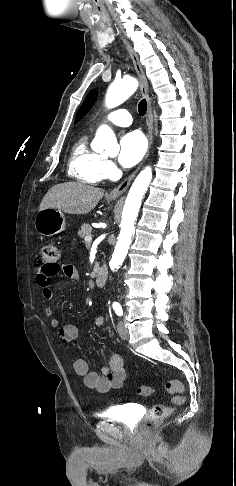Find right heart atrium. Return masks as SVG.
<instances>
[{
    "label": "right heart atrium",
    "mask_w": 236,
    "mask_h": 486,
    "mask_svg": "<svg viewBox=\"0 0 236 486\" xmlns=\"http://www.w3.org/2000/svg\"><path fill=\"white\" fill-rule=\"evenodd\" d=\"M102 171H103L104 178H110L115 174L116 166L112 161L104 160Z\"/></svg>",
    "instance_id": "d8ad5b80"
}]
</instances>
